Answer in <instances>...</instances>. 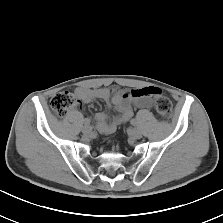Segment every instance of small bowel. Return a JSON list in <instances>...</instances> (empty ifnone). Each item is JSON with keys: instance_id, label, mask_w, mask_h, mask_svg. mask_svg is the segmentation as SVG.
<instances>
[{"instance_id": "1", "label": "small bowel", "mask_w": 223, "mask_h": 223, "mask_svg": "<svg viewBox=\"0 0 223 223\" xmlns=\"http://www.w3.org/2000/svg\"><path fill=\"white\" fill-rule=\"evenodd\" d=\"M156 90L154 87L136 89L79 87L76 89L75 94L80 104L101 100L117 111V114L110 118L105 112H98L95 115L97 131L102 134H111L133 115V107L139 109L150 108L152 106L151 96L153 91Z\"/></svg>"}]
</instances>
